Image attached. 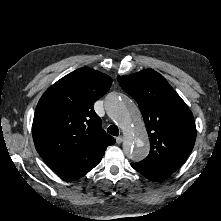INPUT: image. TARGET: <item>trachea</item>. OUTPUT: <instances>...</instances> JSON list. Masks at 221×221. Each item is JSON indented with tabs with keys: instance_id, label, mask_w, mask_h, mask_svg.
Masks as SVG:
<instances>
[{
	"instance_id": "trachea-1",
	"label": "trachea",
	"mask_w": 221,
	"mask_h": 221,
	"mask_svg": "<svg viewBox=\"0 0 221 221\" xmlns=\"http://www.w3.org/2000/svg\"><path fill=\"white\" fill-rule=\"evenodd\" d=\"M107 132L113 136L119 135V129L116 125H111L108 127Z\"/></svg>"
}]
</instances>
